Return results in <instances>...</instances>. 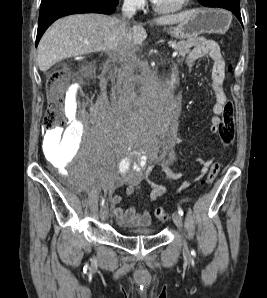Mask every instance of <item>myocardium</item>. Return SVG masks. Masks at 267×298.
I'll return each mask as SVG.
<instances>
[{
    "instance_id": "myocardium-1",
    "label": "myocardium",
    "mask_w": 267,
    "mask_h": 298,
    "mask_svg": "<svg viewBox=\"0 0 267 298\" xmlns=\"http://www.w3.org/2000/svg\"><path fill=\"white\" fill-rule=\"evenodd\" d=\"M189 2L190 0H182V2L173 9H163L153 1V9L159 14L172 15L182 12L187 7Z\"/></svg>"
}]
</instances>
